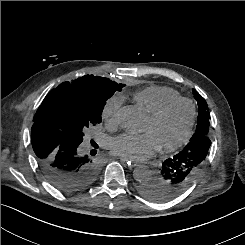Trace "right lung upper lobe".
<instances>
[{
	"label": "right lung upper lobe",
	"instance_id": "obj_1",
	"mask_svg": "<svg viewBox=\"0 0 245 245\" xmlns=\"http://www.w3.org/2000/svg\"><path fill=\"white\" fill-rule=\"evenodd\" d=\"M95 77L97 76H93V75H86V76H83L77 80H75L74 82H64V83H61L57 88L51 90L47 96L44 98L42 104L39 106L34 118H33V121H34V124L32 126V129H36L37 127H39V125L37 124L38 122H43V110L45 108V106L48 104V102H50L51 100H54L56 99L60 92H61V89L66 85V84H72L73 86H78L79 88H85V87H88V86H91L92 84L95 83ZM99 78H103V77H99Z\"/></svg>",
	"mask_w": 245,
	"mask_h": 245
}]
</instances>
